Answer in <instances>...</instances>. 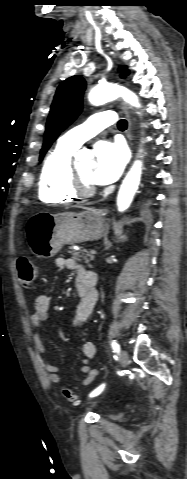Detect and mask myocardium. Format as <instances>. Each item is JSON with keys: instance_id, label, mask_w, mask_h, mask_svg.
<instances>
[{"instance_id": "f54148a6", "label": "myocardium", "mask_w": 187, "mask_h": 479, "mask_svg": "<svg viewBox=\"0 0 187 479\" xmlns=\"http://www.w3.org/2000/svg\"><path fill=\"white\" fill-rule=\"evenodd\" d=\"M71 187L78 197H91L96 193L93 182L87 181L76 168H71Z\"/></svg>"}]
</instances>
